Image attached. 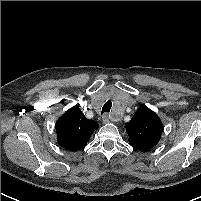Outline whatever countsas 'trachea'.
<instances>
[{
    "instance_id": "obj_1",
    "label": "trachea",
    "mask_w": 201,
    "mask_h": 201,
    "mask_svg": "<svg viewBox=\"0 0 201 201\" xmlns=\"http://www.w3.org/2000/svg\"><path fill=\"white\" fill-rule=\"evenodd\" d=\"M111 107H112V102H111V100H108V101L104 104V106H103V108H102V111H101V114L110 112Z\"/></svg>"
}]
</instances>
